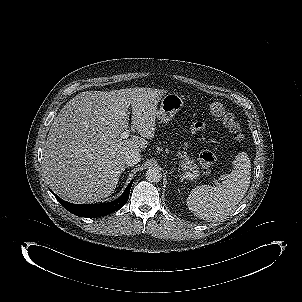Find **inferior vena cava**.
I'll return each instance as SVG.
<instances>
[{"mask_svg": "<svg viewBox=\"0 0 302 302\" xmlns=\"http://www.w3.org/2000/svg\"><path fill=\"white\" fill-rule=\"evenodd\" d=\"M141 160V155L139 152L136 151H132V152H128L124 158V163L127 166H134L137 163H139Z\"/></svg>", "mask_w": 302, "mask_h": 302, "instance_id": "inferior-vena-cava-1", "label": "inferior vena cava"}]
</instances>
